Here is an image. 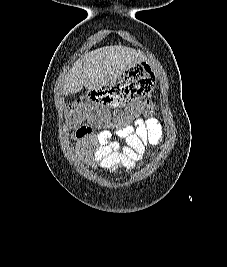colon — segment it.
<instances>
[{"label":"colon","instance_id":"obj_1","mask_svg":"<svg viewBox=\"0 0 227 267\" xmlns=\"http://www.w3.org/2000/svg\"><path fill=\"white\" fill-rule=\"evenodd\" d=\"M98 105L102 106V104H85L84 101L72 103L68 110L71 123L76 126L88 120L92 125L97 126V130H107L106 119H119L108 120V125H132V120L121 119H139V116L159 115V110H155L156 106L150 102L144 105H129L127 110H114V114H109V110H96L95 106ZM112 129H116V126H112ZM118 129H121V126H118Z\"/></svg>","mask_w":227,"mask_h":267}]
</instances>
